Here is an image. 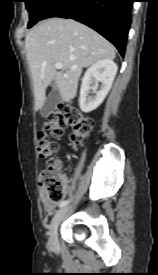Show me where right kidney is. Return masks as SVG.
I'll use <instances>...</instances> for the list:
<instances>
[{"instance_id":"ca27d5eb","label":"right kidney","mask_w":158,"mask_h":275,"mask_svg":"<svg viewBox=\"0 0 158 275\" xmlns=\"http://www.w3.org/2000/svg\"><path fill=\"white\" fill-rule=\"evenodd\" d=\"M117 69L116 63L111 59L100 60L87 69L82 78L79 98L80 109L83 112L89 113L95 110L104 101L112 86ZM98 82H101L99 90H97ZM91 90L95 94L94 96L89 95Z\"/></svg>"}]
</instances>
